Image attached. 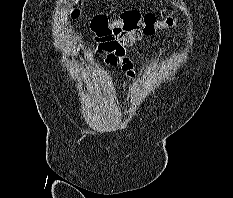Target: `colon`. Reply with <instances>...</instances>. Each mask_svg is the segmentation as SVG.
Returning a JSON list of instances; mask_svg holds the SVG:
<instances>
[{
    "label": "colon",
    "mask_w": 233,
    "mask_h": 198,
    "mask_svg": "<svg viewBox=\"0 0 233 198\" xmlns=\"http://www.w3.org/2000/svg\"><path fill=\"white\" fill-rule=\"evenodd\" d=\"M78 16L79 10L74 8L71 12V17L76 19ZM175 24L176 20L172 17L158 20L153 14H142L138 10L131 9L124 11L114 20H109L103 15L94 17L91 21V31L97 42L112 36L118 31L139 32L143 35H152L159 29L169 28Z\"/></svg>",
    "instance_id": "obj_1"
}]
</instances>
